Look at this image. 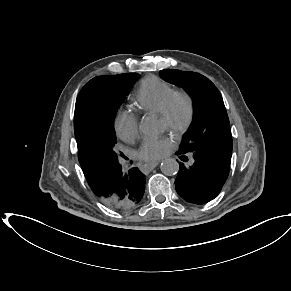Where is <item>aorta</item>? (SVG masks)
I'll use <instances>...</instances> for the list:
<instances>
[{"instance_id":"obj_1","label":"aorta","mask_w":291,"mask_h":291,"mask_svg":"<svg viewBox=\"0 0 291 291\" xmlns=\"http://www.w3.org/2000/svg\"><path fill=\"white\" fill-rule=\"evenodd\" d=\"M139 130L141 133L145 135H151L154 133L153 125L147 121H143L139 125ZM160 168L163 174L167 176H172V175L177 174L179 170V164L175 159L167 158L162 161Z\"/></svg>"}]
</instances>
